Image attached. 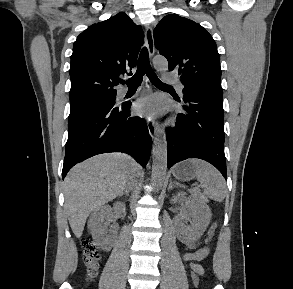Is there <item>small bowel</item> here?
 <instances>
[{
  "label": "small bowel",
  "mask_w": 293,
  "mask_h": 289,
  "mask_svg": "<svg viewBox=\"0 0 293 289\" xmlns=\"http://www.w3.org/2000/svg\"><path fill=\"white\" fill-rule=\"evenodd\" d=\"M187 248L190 250L183 255V259L187 262L191 268H193L197 261L203 260L209 253V250L205 247H198L196 243L187 244Z\"/></svg>",
  "instance_id": "1"
}]
</instances>
